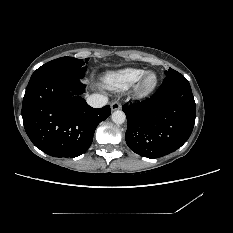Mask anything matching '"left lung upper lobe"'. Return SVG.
<instances>
[{
    "mask_svg": "<svg viewBox=\"0 0 233 233\" xmlns=\"http://www.w3.org/2000/svg\"><path fill=\"white\" fill-rule=\"evenodd\" d=\"M174 72H176V71L173 70V69H171V68H169L168 71H165V75L168 76V75H170V74H172V73H174Z\"/></svg>",
    "mask_w": 233,
    "mask_h": 233,
    "instance_id": "left-lung-upper-lobe-1",
    "label": "left lung upper lobe"
}]
</instances>
